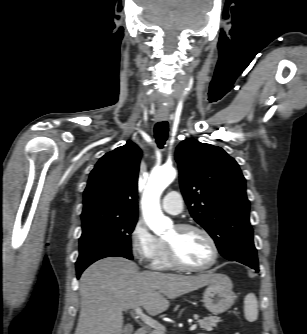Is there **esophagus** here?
<instances>
[{"mask_svg":"<svg viewBox=\"0 0 307 334\" xmlns=\"http://www.w3.org/2000/svg\"><path fill=\"white\" fill-rule=\"evenodd\" d=\"M156 119H157V121H165V120L168 119V115H165V114H158V115L156 116Z\"/></svg>","mask_w":307,"mask_h":334,"instance_id":"obj_1","label":"esophagus"}]
</instances>
